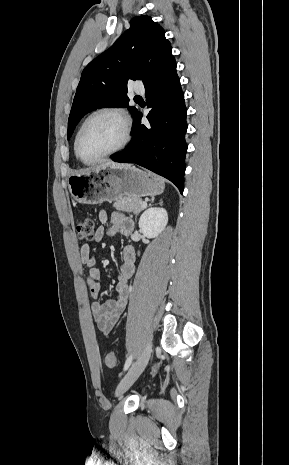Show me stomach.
Returning <instances> with one entry per match:
<instances>
[{
    "label": "stomach",
    "instance_id": "obj_1",
    "mask_svg": "<svg viewBox=\"0 0 289 465\" xmlns=\"http://www.w3.org/2000/svg\"><path fill=\"white\" fill-rule=\"evenodd\" d=\"M71 197L81 204L112 202L123 196L140 198L159 195L164 190L163 180L134 166L95 167L68 178Z\"/></svg>",
    "mask_w": 289,
    "mask_h": 465
}]
</instances>
